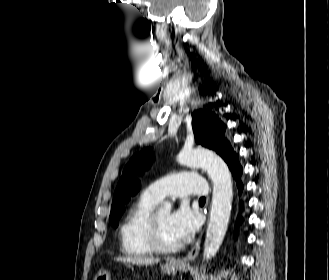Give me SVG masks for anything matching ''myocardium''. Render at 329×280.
<instances>
[{"mask_svg":"<svg viewBox=\"0 0 329 280\" xmlns=\"http://www.w3.org/2000/svg\"><path fill=\"white\" fill-rule=\"evenodd\" d=\"M157 213V210H153L147 219L145 228L147 241L152 251L163 254L174 253L182 247V244L166 245L161 241L158 232Z\"/></svg>","mask_w":329,"mask_h":280,"instance_id":"1","label":"myocardium"}]
</instances>
